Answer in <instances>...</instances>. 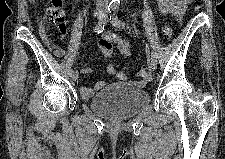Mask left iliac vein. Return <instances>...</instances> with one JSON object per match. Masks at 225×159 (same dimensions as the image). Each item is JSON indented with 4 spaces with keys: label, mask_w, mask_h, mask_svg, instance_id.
I'll return each instance as SVG.
<instances>
[{
    "label": "left iliac vein",
    "mask_w": 225,
    "mask_h": 159,
    "mask_svg": "<svg viewBox=\"0 0 225 159\" xmlns=\"http://www.w3.org/2000/svg\"><path fill=\"white\" fill-rule=\"evenodd\" d=\"M105 22L107 23L108 21L105 19ZM123 26H119L118 28H121ZM149 67L153 70H155L157 68V60L156 57H151L150 61H149Z\"/></svg>",
    "instance_id": "4c4485c4"
}]
</instances>
